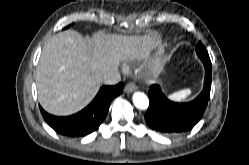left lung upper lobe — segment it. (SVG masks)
I'll return each instance as SVG.
<instances>
[{"mask_svg": "<svg viewBox=\"0 0 249 165\" xmlns=\"http://www.w3.org/2000/svg\"><path fill=\"white\" fill-rule=\"evenodd\" d=\"M196 52H197L198 57L203 62V64H211L208 52L201 42L198 43L196 47Z\"/></svg>", "mask_w": 249, "mask_h": 165, "instance_id": "obj_1", "label": "left lung upper lobe"}]
</instances>
